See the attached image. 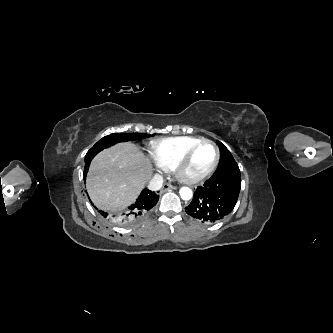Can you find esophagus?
<instances>
[{
  "label": "esophagus",
  "instance_id": "34e87169",
  "mask_svg": "<svg viewBox=\"0 0 333 333\" xmlns=\"http://www.w3.org/2000/svg\"><path fill=\"white\" fill-rule=\"evenodd\" d=\"M176 188H177L176 186H173L171 184L166 183L163 186L162 192L167 191V190H171V189H176Z\"/></svg>",
  "mask_w": 333,
  "mask_h": 333
}]
</instances>
